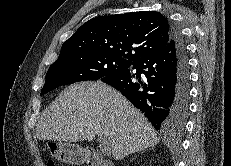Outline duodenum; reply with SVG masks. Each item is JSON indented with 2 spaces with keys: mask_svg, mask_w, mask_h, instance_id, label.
Wrapping results in <instances>:
<instances>
[{
  "mask_svg": "<svg viewBox=\"0 0 231 166\" xmlns=\"http://www.w3.org/2000/svg\"><path fill=\"white\" fill-rule=\"evenodd\" d=\"M86 166H112L103 156L95 151H87L84 156Z\"/></svg>",
  "mask_w": 231,
  "mask_h": 166,
  "instance_id": "410a0bca",
  "label": "duodenum"
}]
</instances>
